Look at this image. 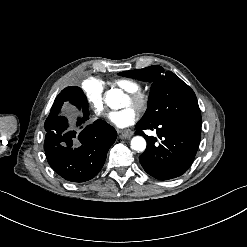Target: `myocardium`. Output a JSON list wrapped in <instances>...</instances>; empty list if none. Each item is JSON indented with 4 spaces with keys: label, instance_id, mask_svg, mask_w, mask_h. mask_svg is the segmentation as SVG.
<instances>
[{
    "label": "myocardium",
    "instance_id": "1",
    "mask_svg": "<svg viewBox=\"0 0 247 247\" xmlns=\"http://www.w3.org/2000/svg\"><path fill=\"white\" fill-rule=\"evenodd\" d=\"M131 101L137 104L141 109H147L149 105V96L146 93L137 92L131 96Z\"/></svg>",
    "mask_w": 247,
    "mask_h": 247
}]
</instances>
